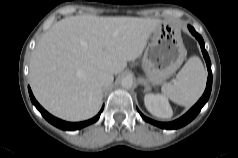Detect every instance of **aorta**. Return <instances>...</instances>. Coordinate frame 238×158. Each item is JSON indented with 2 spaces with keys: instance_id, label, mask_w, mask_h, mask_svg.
<instances>
[{
  "instance_id": "762f6f07",
  "label": "aorta",
  "mask_w": 238,
  "mask_h": 158,
  "mask_svg": "<svg viewBox=\"0 0 238 158\" xmlns=\"http://www.w3.org/2000/svg\"><path fill=\"white\" fill-rule=\"evenodd\" d=\"M133 85V78L131 76H125L121 79V86L123 88H131Z\"/></svg>"
}]
</instances>
